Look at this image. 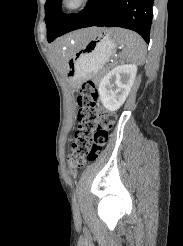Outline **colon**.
I'll return each mask as SVG.
<instances>
[{
  "label": "colon",
  "instance_id": "5ec220e1",
  "mask_svg": "<svg viewBox=\"0 0 183 246\" xmlns=\"http://www.w3.org/2000/svg\"><path fill=\"white\" fill-rule=\"evenodd\" d=\"M77 104L78 129L69 156L71 172L81 168L87 160L97 158L116 120L114 113L99 108L98 91L92 81L82 84Z\"/></svg>",
  "mask_w": 183,
  "mask_h": 246
}]
</instances>
